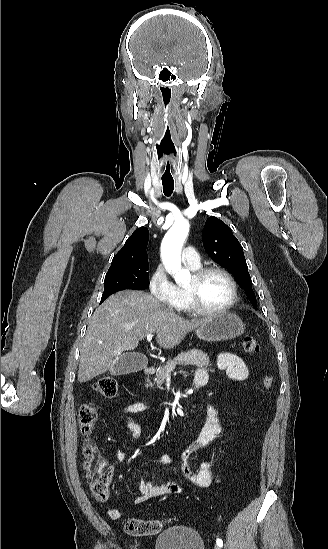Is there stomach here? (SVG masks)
I'll list each match as a JSON object with an SVG mask.
<instances>
[{
  "label": "stomach",
  "instance_id": "1",
  "mask_svg": "<svg viewBox=\"0 0 328 549\" xmlns=\"http://www.w3.org/2000/svg\"><path fill=\"white\" fill-rule=\"evenodd\" d=\"M244 331L245 325L240 317L230 311H224L207 317L195 333L201 341H228L243 335Z\"/></svg>",
  "mask_w": 328,
  "mask_h": 549
}]
</instances>
